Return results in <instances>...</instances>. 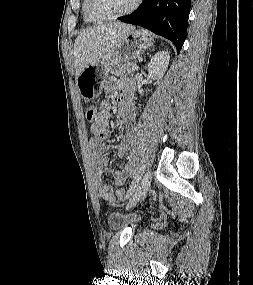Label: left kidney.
Segmentation results:
<instances>
[{
  "instance_id": "left-kidney-1",
  "label": "left kidney",
  "mask_w": 253,
  "mask_h": 285,
  "mask_svg": "<svg viewBox=\"0 0 253 285\" xmlns=\"http://www.w3.org/2000/svg\"><path fill=\"white\" fill-rule=\"evenodd\" d=\"M169 52L159 51L150 60L148 64V75L154 79H161L169 65Z\"/></svg>"
}]
</instances>
